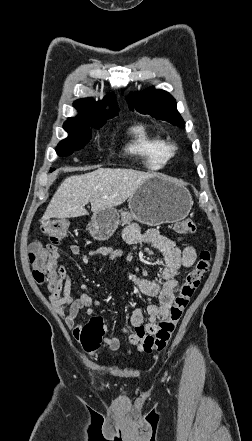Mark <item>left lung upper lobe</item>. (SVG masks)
<instances>
[{
	"instance_id": "1",
	"label": "left lung upper lobe",
	"mask_w": 252,
	"mask_h": 441,
	"mask_svg": "<svg viewBox=\"0 0 252 441\" xmlns=\"http://www.w3.org/2000/svg\"><path fill=\"white\" fill-rule=\"evenodd\" d=\"M129 108L156 119L185 127V123L176 108L174 98L166 91L151 89L147 92L131 93L127 97Z\"/></svg>"
}]
</instances>
